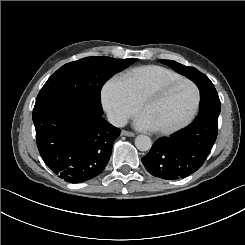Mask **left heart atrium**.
Instances as JSON below:
<instances>
[{
  "label": "left heart atrium",
  "instance_id": "left-heart-atrium-1",
  "mask_svg": "<svg viewBox=\"0 0 245 245\" xmlns=\"http://www.w3.org/2000/svg\"><path fill=\"white\" fill-rule=\"evenodd\" d=\"M136 126L140 129H149L152 128L146 120L143 118V116L140 114L136 119Z\"/></svg>",
  "mask_w": 245,
  "mask_h": 245
}]
</instances>
